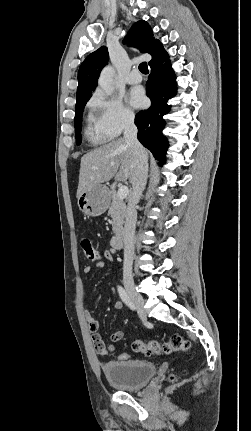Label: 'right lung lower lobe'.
Masks as SVG:
<instances>
[{
  "label": "right lung lower lobe",
  "mask_w": 251,
  "mask_h": 431,
  "mask_svg": "<svg viewBox=\"0 0 251 431\" xmlns=\"http://www.w3.org/2000/svg\"><path fill=\"white\" fill-rule=\"evenodd\" d=\"M150 67L146 94L151 100V106L136 114L135 124L138 128V140L162 165L168 148L167 139L162 134L165 125L163 115L170 110L167 101L176 93V79L168 57Z\"/></svg>",
  "instance_id": "right-lung-lower-lobe-1"
}]
</instances>
